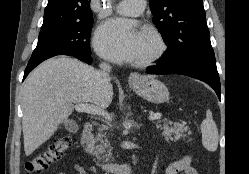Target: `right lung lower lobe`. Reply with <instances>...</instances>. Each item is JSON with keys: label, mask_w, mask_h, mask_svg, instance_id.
Masks as SVG:
<instances>
[{"label": "right lung lower lobe", "mask_w": 249, "mask_h": 174, "mask_svg": "<svg viewBox=\"0 0 249 174\" xmlns=\"http://www.w3.org/2000/svg\"><path fill=\"white\" fill-rule=\"evenodd\" d=\"M56 55H68V56H73L81 61H84L86 62L87 64H91L92 63V58L90 56V54H80V53H57V54H51V55H47V56H44L36 61H33V62H29L26 69H25V72H24V77L23 79L26 78V76L29 74L30 71H32L38 64H40L42 61L48 59V58H51L53 56H56Z\"/></svg>", "instance_id": "1"}]
</instances>
